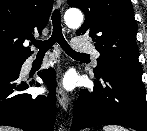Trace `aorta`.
Listing matches in <instances>:
<instances>
[{"instance_id":"1","label":"aorta","mask_w":147,"mask_h":131,"mask_svg":"<svg viewBox=\"0 0 147 131\" xmlns=\"http://www.w3.org/2000/svg\"><path fill=\"white\" fill-rule=\"evenodd\" d=\"M64 20L69 27H79L83 22V15L78 9H69L64 15Z\"/></svg>"}]
</instances>
